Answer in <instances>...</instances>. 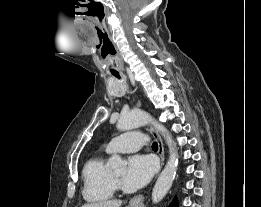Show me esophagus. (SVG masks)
<instances>
[{
    "instance_id": "1",
    "label": "esophagus",
    "mask_w": 261,
    "mask_h": 207,
    "mask_svg": "<svg viewBox=\"0 0 261 207\" xmlns=\"http://www.w3.org/2000/svg\"><path fill=\"white\" fill-rule=\"evenodd\" d=\"M150 133L153 135V137L156 139L157 143H158V154L160 157V165L161 167L164 164V145H163V141L161 139V137L159 136V134L157 133L156 130H154L152 127H148ZM144 196L143 195H137L135 197H133L130 201L131 205H139L143 202Z\"/></svg>"
}]
</instances>
